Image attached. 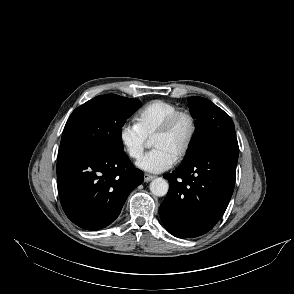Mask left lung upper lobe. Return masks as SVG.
Wrapping results in <instances>:
<instances>
[{"label": "left lung upper lobe", "mask_w": 294, "mask_h": 294, "mask_svg": "<svg viewBox=\"0 0 294 294\" xmlns=\"http://www.w3.org/2000/svg\"><path fill=\"white\" fill-rule=\"evenodd\" d=\"M188 102L190 112L196 119V133L184 162L191 160L214 141L236 136L232 119L213 102L202 97H191Z\"/></svg>", "instance_id": "5c2ea615"}]
</instances>
